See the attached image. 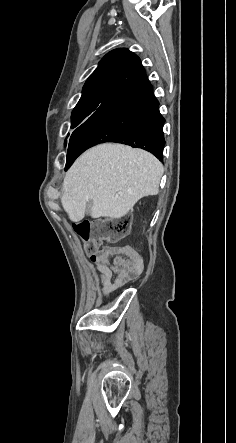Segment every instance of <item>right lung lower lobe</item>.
I'll list each match as a JSON object with an SVG mask.
<instances>
[{
	"label": "right lung lower lobe",
	"instance_id": "98d812e1",
	"mask_svg": "<svg viewBox=\"0 0 236 443\" xmlns=\"http://www.w3.org/2000/svg\"><path fill=\"white\" fill-rule=\"evenodd\" d=\"M164 122L145 74L129 88L109 96L80 126L68 147L65 170L83 151L103 142L141 148L162 161Z\"/></svg>",
	"mask_w": 236,
	"mask_h": 443
}]
</instances>
